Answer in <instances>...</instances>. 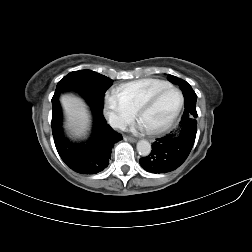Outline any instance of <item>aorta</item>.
Wrapping results in <instances>:
<instances>
[{
	"label": "aorta",
	"instance_id": "762f6f07",
	"mask_svg": "<svg viewBox=\"0 0 252 252\" xmlns=\"http://www.w3.org/2000/svg\"><path fill=\"white\" fill-rule=\"evenodd\" d=\"M137 151L142 156H148L151 152V144L147 140H140L137 143Z\"/></svg>",
	"mask_w": 252,
	"mask_h": 252
}]
</instances>
